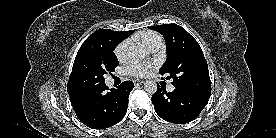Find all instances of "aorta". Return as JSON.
<instances>
[{"label": "aorta", "mask_w": 276, "mask_h": 138, "mask_svg": "<svg viewBox=\"0 0 276 138\" xmlns=\"http://www.w3.org/2000/svg\"><path fill=\"white\" fill-rule=\"evenodd\" d=\"M145 51L138 47H132L128 51V58L133 62L141 61L145 57ZM144 90L149 94H154L157 91V83L155 81H146Z\"/></svg>", "instance_id": "obj_1"}]
</instances>
